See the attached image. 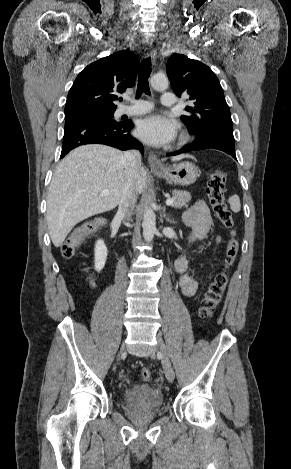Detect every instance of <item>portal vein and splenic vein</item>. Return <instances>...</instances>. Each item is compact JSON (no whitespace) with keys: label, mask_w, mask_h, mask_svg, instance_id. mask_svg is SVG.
I'll return each instance as SVG.
<instances>
[{"label":"portal vein and splenic vein","mask_w":291,"mask_h":469,"mask_svg":"<svg viewBox=\"0 0 291 469\" xmlns=\"http://www.w3.org/2000/svg\"><path fill=\"white\" fill-rule=\"evenodd\" d=\"M108 194H109V191H108V190H104V191L101 192V195H102V196H106V195H108ZM173 202H174V200H173L172 198H168V199L166 200V205L170 206V205L173 204Z\"/></svg>","instance_id":"1"}]
</instances>
